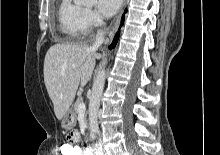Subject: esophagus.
<instances>
[{
    "label": "esophagus",
    "instance_id": "34e87169",
    "mask_svg": "<svg viewBox=\"0 0 220 155\" xmlns=\"http://www.w3.org/2000/svg\"><path fill=\"white\" fill-rule=\"evenodd\" d=\"M122 12H123V9H122V11H121V13H120V16H119L118 19H117V22H116L115 26H114V27L112 28V30L109 32V38H108L107 42H108V41H111L112 38H113V36L115 35L116 30H117L118 25H119V22H120V18H121Z\"/></svg>",
    "mask_w": 220,
    "mask_h": 155
}]
</instances>
